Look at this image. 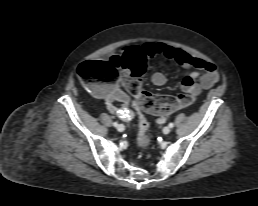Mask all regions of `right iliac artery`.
<instances>
[{
	"instance_id": "1",
	"label": "right iliac artery",
	"mask_w": 258,
	"mask_h": 206,
	"mask_svg": "<svg viewBox=\"0 0 258 206\" xmlns=\"http://www.w3.org/2000/svg\"><path fill=\"white\" fill-rule=\"evenodd\" d=\"M113 126H114V127H117V126H118V123H117V122H114V123H113Z\"/></svg>"
}]
</instances>
